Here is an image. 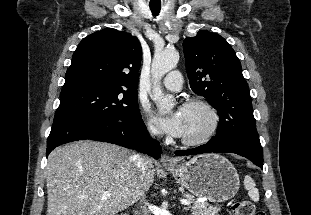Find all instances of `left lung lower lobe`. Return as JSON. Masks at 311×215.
<instances>
[{"mask_svg":"<svg viewBox=\"0 0 311 215\" xmlns=\"http://www.w3.org/2000/svg\"><path fill=\"white\" fill-rule=\"evenodd\" d=\"M236 153L251 160L255 165L263 166V149L256 130H237L222 137H212L207 144L186 151H176L177 156L202 153Z\"/></svg>","mask_w":311,"mask_h":215,"instance_id":"obj_1","label":"left lung lower lobe"}]
</instances>
